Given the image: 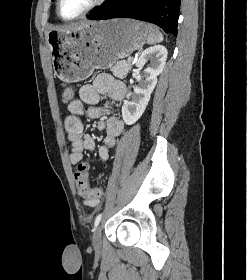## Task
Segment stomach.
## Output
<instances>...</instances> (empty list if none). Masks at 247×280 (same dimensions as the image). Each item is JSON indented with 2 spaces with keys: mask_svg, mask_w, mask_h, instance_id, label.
Instances as JSON below:
<instances>
[{
  "mask_svg": "<svg viewBox=\"0 0 247 280\" xmlns=\"http://www.w3.org/2000/svg\"><path fill=\"white\" fill-rule=\"evenodd\" d=\"M147 35L144 22L113 19L65 32L50 31L47 43L56 76L73 83L129 57L144 45Z\"/></svg>",
  "mask_w": 247,
  "mask_h": 280,
  "instance_id": "stomach-1",
  "label": "stomach"
}]
</instances>
